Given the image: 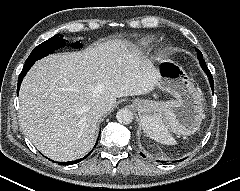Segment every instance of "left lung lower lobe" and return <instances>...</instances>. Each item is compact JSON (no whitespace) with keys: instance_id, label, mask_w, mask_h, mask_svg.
Masks as SVG:
<instances>
[{"instance_id":"0a47b994","label":"left lung lower lobe","mask_w":240,"mask_h":191,"mask_svg":"<svg viewBox=\"0 0 240 191\" xmlns=\"http://www.w3.org/2000/svg\"><path fill=\"white\" fill-rule=\"evenodd\" d=\"M200 61V65L202 67V69L204 70V72L206 73V75L209 77V82H210V85H211V88L212 90L214 91V84H213V78H212V75L209 71V69L207 68L206 64H205V61L203 58L199 59ZM143 157L144 155L142 153H140Z\"/></svg>"}]
</instances>
